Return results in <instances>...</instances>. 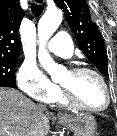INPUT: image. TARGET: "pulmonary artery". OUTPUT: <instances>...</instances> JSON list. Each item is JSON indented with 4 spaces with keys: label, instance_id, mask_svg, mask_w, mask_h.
<instances>
[{
    "label": "pulmonary artery",
    "instance_id": "e3ab8cb5",
    "mask_svg": "<svg viewBox=\"0 0 117 136\" xmlns=\"http://www.w3.org/2000/svg\"><path fill=\"white\" fill-rule=\"evenodd\" d=\"M47 48L52 53L61 57H70L73 54V43L65 31H58L48 42Z\"/></svg>",
    "mask_w": 117,
    "mask_h": 136
}]
</instances>
